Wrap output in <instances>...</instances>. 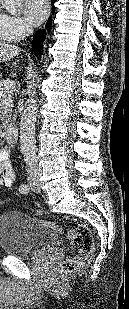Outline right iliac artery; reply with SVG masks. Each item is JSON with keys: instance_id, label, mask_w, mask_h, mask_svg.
Listing matches in <instances>:
<instances>
[{"instance_id": "obj_1", "label": "right iliac artery", "mask_w": 129, "mask_h": 309, "mask_svg": "<svg viewBox=\"0 0 129 309\" xmlns=\"http://www.w3.org/2000/svg\"><path fill=\"white\" fill-rule=\"evenodd\" d=\"M19 191L22 193V194H26L29 192V186L26 185V184H22L19 188Z\"/></svg>"}]
</instances>
